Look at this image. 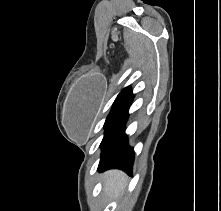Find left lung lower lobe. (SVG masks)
<instances>
[{"mask_svg":"<svg viewBox=\"0 0 221 211\" xmlns=\"http://www.w3.org/2000/svg\"><path fill=\"white\" fill-rule=\"evenodd\" d=\"M129 106L116 115L106 127L101 143L102 153L98 166L100 171L120 169L128 174L132 172L135 153L133 148L128 146L127 136L124 134Z\"/></svg>","mask_w":221,"mask_h":211,"instance_id":"obj_1","label":"left lung lower lobe"}]
</instances>
